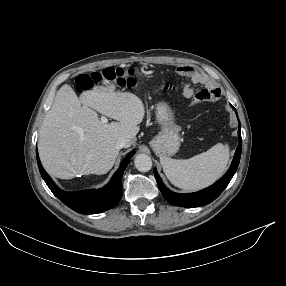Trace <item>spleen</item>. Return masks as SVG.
Segmentation results:
<instances>
[{"mask_svg": "<svg viewBox=\"0 0 286 286\" xmlns=\"http://www.w3.org/2000/svg\"><path fill=\"white\" fill-rule=\"evenodd\" d=\"M228 160V146L222 143L190 159L160 157L163 171L169 181L188 191H196L215 182L226 170Z\"/></svg>", "mask_w": 286, "mask_h": 286, "instance_id": "3e777b00", "label": "spleen"}]
</instances>
